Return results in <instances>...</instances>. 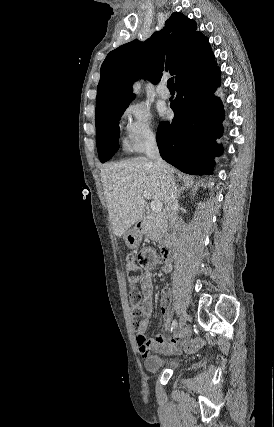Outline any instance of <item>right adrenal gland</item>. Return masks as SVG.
Segmentation results:
<instances>
[{"instance_id":"1","label":"right adrenal gland","mask_w":274,"mask_h":427,"mask_svg":"<svg viewBox=\"0 0 274 427\" xmlns=\"http://www.w3.org/2000/svg\"><path fill=\"white\" fill-rule=\"evenodd\" d=\"M178 194L181 196V194H183L182 190H178Z\"/></svg>"}]
</instances>
